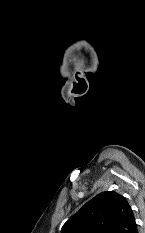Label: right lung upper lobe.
I'll return each mask as SVG.
<instances>
[{
  "label": "right lung upper lobe",
  "mask_w": 145,
  "mask_h": 233,
  "mask_svg": "<svg viewBox=\"0 0 145 233\" xmlns=\"http://www.w3.org/2000/svg\"><path fill=\"white\" fill-rule=\"evenodd\" d=\"M137 227L128 201L114 191L88 201L62 227L61 233H132Z\"/></svg>",
  "instance_id": "cb5924a9"
}]
</instances>
